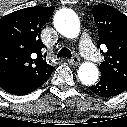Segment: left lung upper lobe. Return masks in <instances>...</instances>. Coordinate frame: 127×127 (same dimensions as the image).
<instances>
[{
    "label": "left lung upper lobe",
    "mask_w": 127,
    "mask_h": 127,
    "mask_svg": "<svg viewBox=\"0 0 127 127\" xmlns=\"http://www.w3.org/2000/svg\"><path fill=\"white\" fill-rule=\"evenodd\" d=\"M98 27V48L107 47L101 53L105 61L100 71L127 83V17L113 7L99 4L92 9Z\"/></svg>",
    "instance_id": "obj_1"
}]
</instances>
